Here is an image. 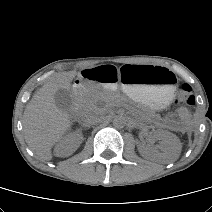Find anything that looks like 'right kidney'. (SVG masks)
I'll use <instances>...</instances> for the list:
<instances>
[{
	"label": "right kidney",
	"instance_id": "ca27d5eb",
	"mask_svg": "<svg viewBox=\"0 0 212 212\" xmlns=\"http://www.w3.org/2000/svg\"><path fill=\"white\" fill-rule=\"evenodd\" d=\"M83 141V135L80 132H73L66 135L55 147V155L58 157H67L73 154Z\"/></svg>",
	"mask_w": 212,
	"mask_h": 212
}]
</instances>
